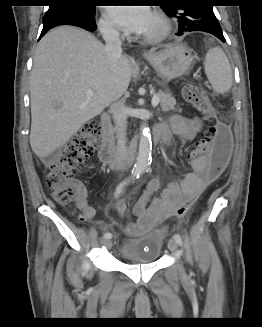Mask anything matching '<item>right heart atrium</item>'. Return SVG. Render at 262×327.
Instances as JSON below:
<instances>
[{"instance_id": "right-heart-atrium-1", "label": "right heart atrium", "mask_w": 262, "mask_h": 327, "mask_svg": "<svg viewBox=\"0 0 262 327\" xmlns=\"http://www.w3.org/2000/svg\"><path fill=\"white\" fill-rule=\"evenodd\" d=\"M98 29L101 35L107 39H118L121 37L120 31L111 22L107 15L103 14L98 20Z\"/></svg>"}]
</instances>
